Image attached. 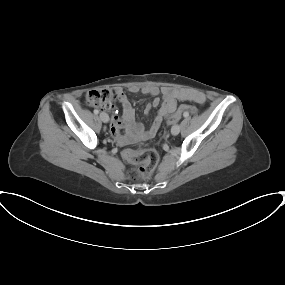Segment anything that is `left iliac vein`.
Masks as SVG:
<instances>
[{"label": "left iliac vein", "instance_id": "4c4485c4", "mask_svg": "<svg viewBox=\"0 0 285 285\" xmlns=\"http://www.w3.org/2000/svg\"><path fill=\"white\" fill-rule=\"evenodd\" d=\"M180 132V126L179 125H174L171 128V133L172 135H177Z\"/></svg>", "mask_w": 285, "mask_h": 285}]
</instances>
